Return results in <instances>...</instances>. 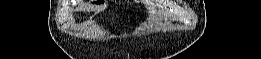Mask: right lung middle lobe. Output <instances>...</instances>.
Wrapping results in <instances>:
<instances>
[{
	"mask_svg": "<svg viewBox=\"0 0 261 59\" xmlns=\"http://www.w3.org/2000/svg\"><path fill=\"white\" fill-rule=\"evenodd\" d=\"M97 4H100V3H102V2H96Z\"/></svg>",
	"mask_w": 261,
	"mask_h": 59,
	"instance_id": "1",
	"label": "right lung middle lobe"
}]
</instances>
